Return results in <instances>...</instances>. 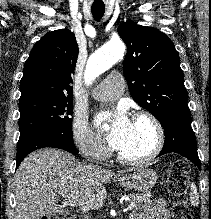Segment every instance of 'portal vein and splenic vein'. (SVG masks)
I'll list each match as a JSON object with an SVG mask.
<instances>
[{
	"mask_svg": "<svg viewBox=\"0 0 211 219\" xmlns=\"http://www.w3.org/2000/svg\"><path fill=\"white\" fill-rule=\"evenodd\" d=\"M134 208V203L131 202L128 207H127V210H132Z\"/></svg>",
	"mask_w": 211,
	"mask_h": 219,
	"instance_id": "portal-vein-and-splenic-vein-1",
	"label": "portal vein and splenic vein"
}]
</instances>
